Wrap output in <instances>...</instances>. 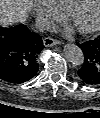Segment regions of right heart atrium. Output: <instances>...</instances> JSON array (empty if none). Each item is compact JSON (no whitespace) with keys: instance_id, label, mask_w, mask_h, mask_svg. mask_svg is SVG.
<instances>
[{"instance_id":"d8ad5b80","label":"right heart atrium","mask_w":100,"mask_h":118,"mask_svg":"<svg viewBox=\"0 0 100 118\" xmlns=\"http://www.w3.org/2000/svg\"><path fill=\"white\" fill-rule=\"evenodd\" d=\"M32 2L36 16L42 24L48 25L63 19V12L52 0H32Z\"/></svg>"}]
</instances>
